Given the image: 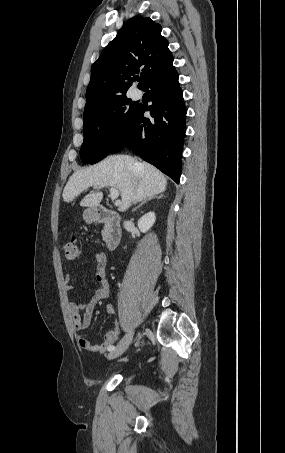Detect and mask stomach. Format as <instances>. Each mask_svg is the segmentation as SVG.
<instances>
[{
	"label": "stomach",
	"mask_w": 285,
	"mask_h": 453,
	"mask_svg": "<svg viewBox=\"0 0 285 453\" xmlns=\"http://www.w3.org/2000/svg\"><path fill=\"white\" fill-rule=\"evenodd\" d=\"M83 219L88 222L92 223L96 220V213L94 209H87L83 212Z\"/></svg>",
	"instance_id": "obj_1"
}]
</instances>
